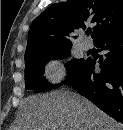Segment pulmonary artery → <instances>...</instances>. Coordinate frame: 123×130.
Instances as JSON below:
<instances>
[{
	"instance_id": "obj_1",
	"label": "pulmonary artery",
	"mask_w": 123,
	"mask_h": 130,
	"mask_svg": "<svg viewBox=\"0 0 123 130\" xmlns=\"http://www.w3.org/2000/svg\"><path fill=\"white\" fill-rule=\"evenodd\" d=\"M81 46L84 50H89L91 47H92V43L90 40L88 39H84L82 42H81Z\"/></svg>"
}]
</instances>
